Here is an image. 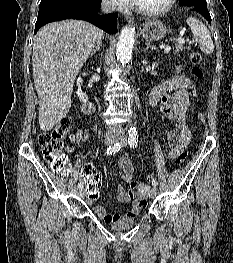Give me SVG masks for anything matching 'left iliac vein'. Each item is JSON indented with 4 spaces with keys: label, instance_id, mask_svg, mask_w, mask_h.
<instances>
[{
    "label": "left iliac vein",
    "instance_id": "left-iliac-vein-1",
    "mask_svg": "<svg viewBox=\"0 0 233 263\" xmlns=\"http://www.w3.org/2000/svg\"><path fill=\"white\" fill-rule=\"evenodd\" d=\"M118 140L122 143V144H125L127 139L125 136H121L120 138H118ZM157 195V188L155 186H153L151 188V191H150V198H155Z\"/></svg>",
    "mask_w": 233,
    "mask_h": 263
}]
</instances>
